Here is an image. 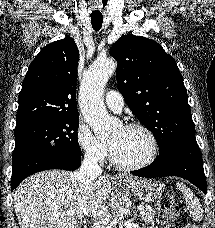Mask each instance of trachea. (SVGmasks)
Segmentation results:
<instances>
[{
  "label": "trachea",
  "instance_id": "1",
  "mask_svg": "<svg viewBox=\"0 0 215 228\" xmlns=\"http://www.w3.org/2000/svg\"><path fill=\"white\" fill-rule=\"evenodd\" d=\"M91 23L93 29L98 32L102 26L103 23V16L101 13H94L91 14Z\"/></svg>",
  "mask_w": 215,
  "mask_h": 228
}]
</instances>
